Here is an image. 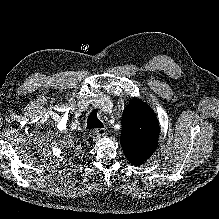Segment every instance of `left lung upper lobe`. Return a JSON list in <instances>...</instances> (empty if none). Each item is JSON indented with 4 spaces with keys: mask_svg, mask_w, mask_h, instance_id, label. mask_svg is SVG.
<instances>
[{
    "mask_svg": "<svg viewBox=\"0 0 219 219\" xmlns=\"http://www.w3.org/2000/svg\"><path fill=\"white\" fill-rule=\"evenodd\" d=\"M121 146L133 165L146 161L158 145L159 125L150 107L139 99L129 103L122 116Z\"/></svg>",
    "mask_w": 219,
    "mask_h": 219,
    "instance_id": "obj_1",
    "label": "left lung upper lobe"
}]
</instances>
